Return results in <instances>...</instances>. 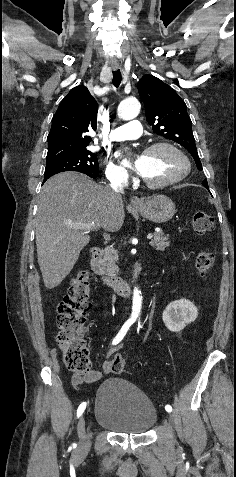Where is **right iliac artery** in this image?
Wrapping results in <instances>:
<instances>
[{
    "label": "right iliac artery",
    "instance_id": "right-iliac-artery-1",
    "mask_svg": "<svg viewBox=\"0 0 236 477\" xmlns=\"http://www.w3.org/2000/svg\"><path fill=\"white\" fill-rule=\"evenodd\" d=\"M132 323H133L132 321H127V322L124 323V325L122 326L119 333L113 339L112 344H118L124 338V336L126 335L128 329L132 325ZM85 408H86V402H83L79 405V407L77 409V417L78 418L83 414Z\"/></svg>",
    "mask_w": 236,
    "mask_h": 477
}]
</instances>
